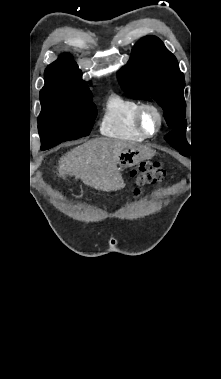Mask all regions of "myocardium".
I'll return each mask as SVG.
<instances>
[{
  "mask_svg": "<svg viewBox=\"0 0 221 379\" xmlns=\"http://www.w3.org/2000/svg\"><path fill=\"white\" fill-rule=\"evenodd\" d=\"M149 112L152 113L156 119V127L153 131H149L145 125V117ZM136 125L141 134L146 138L158 135L163 126V114L160 108L153 103L142 104L136 113Z\"/></svg>",
  "mask_w": 221,
  "mask_h": 379,
  "instance_id": "obj_1",
  "label": "myocardium"
}]
</instances>
